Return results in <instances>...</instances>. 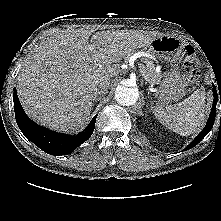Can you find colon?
<instances>
[{
  "label": "colon",
  "instance_id": "colon-1",
  "mask_svg": "<svg viewBox=\"0 0 221 221\" xmlns=\"http://www.w3.org/2000/svg\"><path fill=\"white\" fill-rule=\"evenodd\" d=\"M184 80L190 84L194 85L199 78V61L196 57L195 50L192 46H186L184 52Z\"/></svg>",
  "mask_w": 221,
  "mask_h": 221
}]
</instances>
